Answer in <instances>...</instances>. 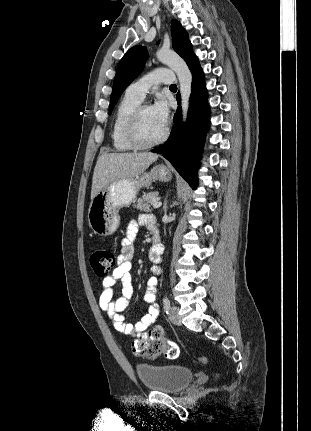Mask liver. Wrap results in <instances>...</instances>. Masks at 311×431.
Returning <instances> with one entry per match:
<instances>
[{
    "instance_id": "obj_1",
    "label": "liver",
    "mask_w": 311,
    "mask_h": 431,
    "mask_svg": "<svg viewBox=\"0 0 311 431\" xmlns=\"http://www.w3.org/2000/svg\"><path fill=\"white\" fill-rule=\"evenodd\" d=\"M157 154H102L94 168L91 188V200L112 182L138 178L145 170L158 160Z\"/></svg>"
}]
</instances>
